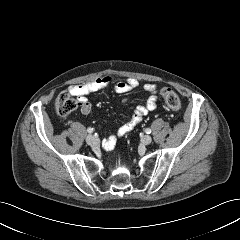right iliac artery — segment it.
Returning <instances> with one entry per match:
<instances>
[{
	"label": "right iliac artery",
	"instance_id": "1",
	"mask_svg": "<svg viewBox=\"0 0 240 240\" xmlns=\"http://www.w3.org/2000/svg\"><path fill=\"white\" fill-rule=\"evenodd\" d=\"M87 132H88V133H92V132H93V128L89 127V128L87 129Z\"/></svg>",
	"mask_w": 240,
	"mask_h": 240
}]
</instances>
